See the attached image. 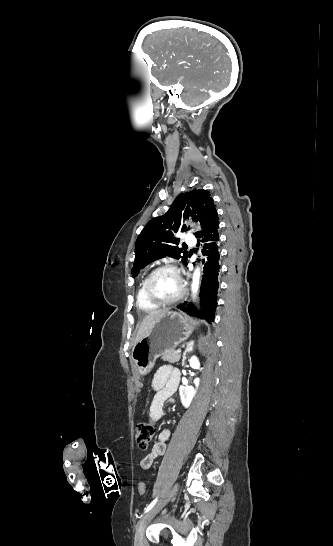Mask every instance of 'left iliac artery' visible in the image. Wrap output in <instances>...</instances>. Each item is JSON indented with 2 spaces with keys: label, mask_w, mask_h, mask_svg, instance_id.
<instances>
[{
  "label": "left iliac artery",
  "mask_w": 333,
  "mask_h": 546,
  "mask_svg": "<svg viewBox=\"0 0 333 546\" xmlns=\"http://www.w3.org/2000/svg\"><path fill=\"white\" fill-rule=\"evenodd\" d=\"M157 500H158V498H155V499H154V500L145 508L144 513H146V512H148L149 510H151V509L154 507V505L156 504Z\"/></svg>",
  "instance_id": "1"
}]
</instances>
